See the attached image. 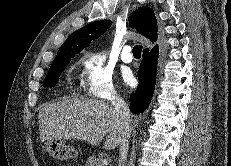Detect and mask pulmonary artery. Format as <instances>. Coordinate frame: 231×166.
<instances>
[{
    "mask_svg": "<svg viewBox=\"0 0 231 166\" xmlns=\"http://www.w3.org/2000/svg\"><path fill=\"white\" fill-rule=\"evenodd\" d=\"M131 46L129 45H126L124 46L122 52H121V60L124 62V63H131L132 62V54H131Z\"/></svg>",
    "mask_w": 231,
    "mask_h": 166,
    "instance_id": "1",
    "label": "pulmonary artery"
}]
</instances>
